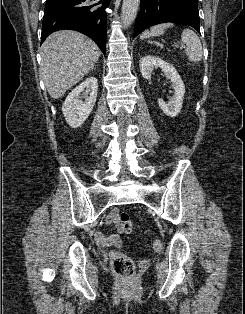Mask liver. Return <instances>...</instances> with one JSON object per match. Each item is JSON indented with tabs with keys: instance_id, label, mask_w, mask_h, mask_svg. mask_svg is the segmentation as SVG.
Listing matches in <instances>:
<instances>
[{
	"instance_id": "liver-1",
	"label": "liver",
	"mask_w": 245,
	"mask_h": 314,
	"mask_svg": "<svg viewBox=\"0 0 245 314\" xmlns=\"http://www.w3.org/2000/svg\"><path fill=\"white\" fill-rule=\"evenodd\" d=\"M101 51L86 35L72 30L51 34L41 47L40 75L49 95L59 99L97 63Z\"/></svg>"
}]
</instances>
